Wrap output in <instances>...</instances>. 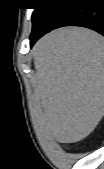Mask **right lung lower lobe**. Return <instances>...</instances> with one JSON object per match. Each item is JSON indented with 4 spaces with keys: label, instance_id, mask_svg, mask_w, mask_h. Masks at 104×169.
<instances>
[{
    "label": "right lung lower lobe",
    "instance_id": "1",
    "mask_svg": "<svg viewBox=\"0 0 104 169\" xmlns=\"http://www.w3.org/2000/svg\"><path fill=\"white\" fill-rule=\"evenodd\" d=\"M63 26L87 27L104 35V0H58L57 9L43 26L32 31L31 46L44 34Z\"/></svg>",
    "mask_w": 104,
    "mask_h": 169
}]
</instances>
